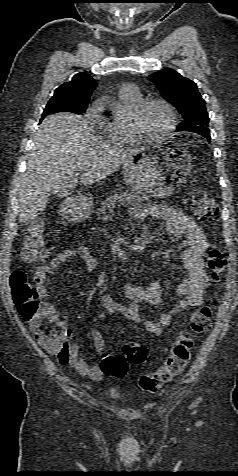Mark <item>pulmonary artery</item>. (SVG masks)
I'll return each mask as SVG.
<instances>
[{"label": "pulmonary artery", "mask_w": 238, "mask_h": 476, "mask_svg": "<svg viewBox=\"0 0 238 476\" xmlns=\"http://www.w3.org/2000/svg\"><path fill=\"white\" fill-rule=\"evenodd\" d=\"M121 91H123L125 93H128V94H138L139 93L138 88L136 86L132 85V84L124 85L122 87Z\"/></svg>", "instance_id": "1"}]
</instances>
